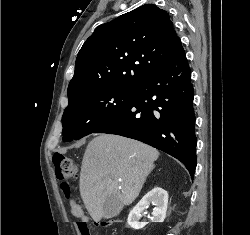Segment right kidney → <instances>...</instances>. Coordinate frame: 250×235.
Instances as JSON below:
<instances>
[{"mask_svg":"<svg viewBox=\"0 0 250 235\" xmlns=\"http://www.w3.org/2000/svg\"><path fill=\"white\" fill-rule=\"evenodd\" d=\"M150 203L155 206L152 211V221H164L167 211L168 193L166 190L160 187H155L150 192H148L130 211L127 223L131 228L138 230L146 225L145 222H139V219L141 217V213L148 207Z\"/></svg>","mask_w":250,"mask_h":235,"instance_id":"right-kidney-1","label":"right kidney"}]
</instances>
